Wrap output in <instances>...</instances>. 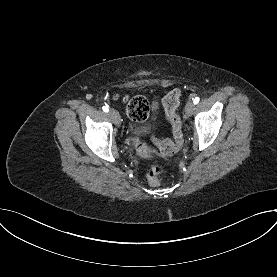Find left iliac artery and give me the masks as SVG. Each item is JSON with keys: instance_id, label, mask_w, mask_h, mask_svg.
<instances>
[{"instance_id": "left-iliac-artery-1", "label": "left iliac artery", "mask_w": 277, "mask_h": 277, "mask_svg": "<svg viewBox=\"0 0 277 277\" xmlns=\"http://www.w3.org/2000/svg\"><path fill=\"white\" fill-rule=\"evenodd\" d=\"M199 100H200L199 97H195V99H194V101H193L194 104H197V103L199 102Z\"/></svg>"}]
</instances>
